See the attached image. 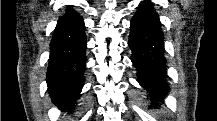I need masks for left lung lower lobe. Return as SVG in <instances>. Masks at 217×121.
<instances>
[{
    "label": "left lung lower lobe",
    "instance_id": "1",
    "mask_svg": "<svg viewBox=\"0 0 217 121\" xmlns=\"http://www.w3.org/2000/svg\"><path fill=\"white\" fill-rule=\"evenodd\" d=\"M150 1L141 2L130 23L129 47L140 85L162 100L169 90L164 57V35Z\"/></svg>",
    "mask_w": 217,
    "mask_h": 121
}]
</instances>
